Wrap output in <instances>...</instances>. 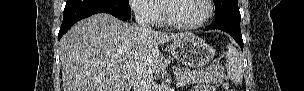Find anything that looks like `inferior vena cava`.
Segmentation results:
<instances>
[{"instance_id": "602c4592", "label": "inferior vena cava", "mask_w": 304, "mask_h": 91, "mask_svg": "<svg viewBox=\"0 0 304 91\" xmlns=\"http://www.w3.org/2000/svg\"><path fill=\"white\" fill-rule=\"evenodd\" d=\"M135 20L143 33L151 32V27L147 24L143 11L139 8L135 10ZM134 91H154L155 83L153 74L146 70H140L134 77Z\"/></svg>"}]
</instances>
